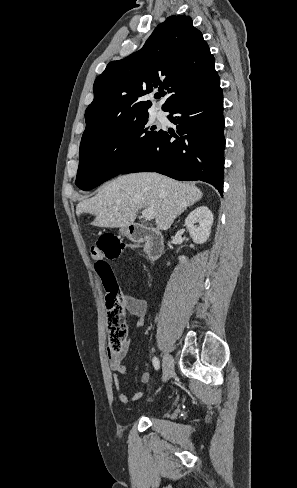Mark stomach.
<instances>
[{"label": "stomach", "mask_w": 297, "mask_h": 488, "mask_svg": "<svg viewBox=\"0 0 297 488\" xmlns=\"http://www.w3.org/2000/svg\"><path fill=\"white\" fill-rule=\"evenodd\" d=\"M122 232H123L124 234H126V230H125V229H123V230H122Z\"/></svg>", "instance_id": "stomach-1"}]
</instances>
